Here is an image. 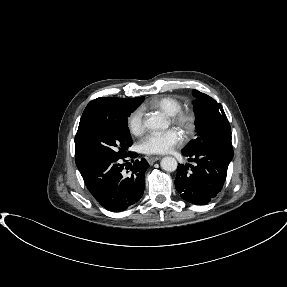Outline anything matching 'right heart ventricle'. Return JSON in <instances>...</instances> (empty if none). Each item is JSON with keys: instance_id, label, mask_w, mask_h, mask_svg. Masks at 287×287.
Wrapping results in <instances>:
<instances>
[{"instance_id": "right-heart-ventricle-1", "label": "right heart ventricle", "mask_w": 287, "mask_h": 287, "mask_svg": "<svg viewBox=\"0 0 287 287\" xmlns=\"http://www.w3.org/2000/svg\"><path fill=\"white\" fill-rule=\"evenodd\" d=\"M147 105L151 108L162 111L168 116H172L182 109L181 101L172 96L154 98Z\"/></svg>"}]
</instances>
